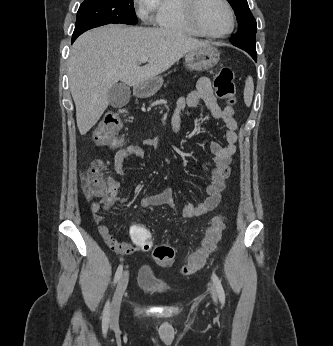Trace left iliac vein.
<instances>
[{"mask_svg":"<svg viewBox=\"0 0 333 346\" xmlns=\"http://www.w3.org/2000/svg\"><path fill=\"white\" fill-rule=\"evenodd\" d=\"M210 293H211L213 300H216V291L213 287L210 288Z\"/></svg>","mask_w":333,"mask_h":346,"instance_id":"obj_1","label":"left iliac vein"}]
</instances>
